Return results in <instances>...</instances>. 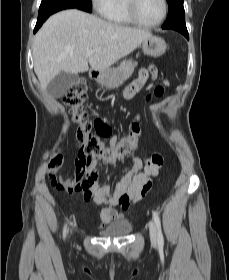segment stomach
<instances>
[{
	"label": "stomach",
	"mask_w": 229,
	"mask_h": 280,
	"mask_svg": "<svg viewBox=\"0 0 229 280\" xmlns=\"http://www.w3.org/2000/svg\"><path fill=\"white\" fill-rule=\"evenodd\" d=\"M142 50L148 56L159 57L166 51V43L162 38L152 36L142 42ZM125 79L122 73L116 69H107L95 77L99 84L107 88L118 87Z\"/></svg>",
	"instance_id": "0dacf381"
}]
</instances>
